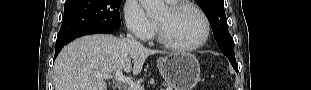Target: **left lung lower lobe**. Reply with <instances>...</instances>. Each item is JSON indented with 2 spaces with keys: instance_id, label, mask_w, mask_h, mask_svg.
Masks as SVG:
<instances>
[{
  "instance_id": "left-lung-lower-lobe-1",
  "label": "left lung lower lobe",
  "mask_w": 311,
  "mask_h": 90,
  "mask_svg": "<svg viewBox=\"0 0 311 90\" xmlns=\"http://www.w3.org/2000/svg\"><path fill=\"white\" fill-rule=\"evenodd\" d=\"M231 64L233 65L234 69L238 71V66L236 65V61L235 62L231 61Z\"/></svg>"
}]
</instances>
